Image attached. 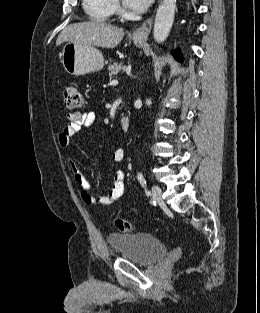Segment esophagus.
<instances>
[{
    "mask_svg": "<svg viewBox=\"0 0 260 313\" xmlns=\"http://www.w3.org/2000/svg\"><path fill=\"white\" fill-rule=\"evenodd\" d=\"M153 24V15L150 16L140 27L136 28L132 33L135 41L145 42L150 34Z\"/></svg>",
    "mask_w": 260,
    "mask_h": 313,
    "instance_id": "esophagus-1",
    "label": "esophagus"
}]
</instances>
